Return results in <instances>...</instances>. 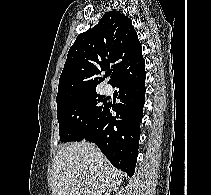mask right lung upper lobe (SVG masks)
<instances>
[{
    "instance_id": "obj_1",
    "label": "right lung upper lobe",
    "mask_w": 211,
    "mask_h": 195,
    "mask_svg": "<svg viewBox=\"0 0 211 195\" xmlns=\"http://www.w3.org/2000/svg\"><path fill=\"white\" fill-rule=\"evenodd\" d=\"M145 64L131 19L119 11L105 13L94 28L77 36L61 73L57 105L96 91L102 72L113 71L110 84Z\"/></svg>"
}]
</instances>
